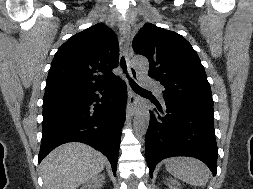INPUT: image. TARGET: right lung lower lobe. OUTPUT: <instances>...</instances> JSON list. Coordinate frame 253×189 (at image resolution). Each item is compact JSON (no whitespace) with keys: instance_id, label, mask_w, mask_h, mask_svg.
<instances>
[{"instance_id":"right-lung-lower-lobe-1","label":"right lung lower lobe","mask_w":253,"mask_h":189,"mask_svg":"<svg viewBox=\"0 0 253 189\" xmlns=\"http://www.w3.org/2000/svg\"><path fill=\"white\" fill-rule=\"evenodd\" d=\"M126 94L120 79L108 85L45 93L39 162L63 143L83 142L102 152L116 175Z\"/></svg>"}]
</instances>
